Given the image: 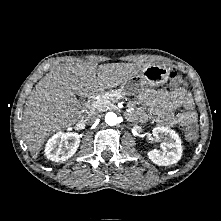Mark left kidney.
Returning a JSON list of instances; mask_svg holds the SVG:
<instances>
[{
	"instance_id": "obj_1",
	"label": "left kidney",
	"mask_w": 221,
	"mask_h": 221,
	"mask_svg": "<svg viewBox=\"0 0 221 221\" xmlns=\"http://www.w3.org/2000/svg\"><path fill=\"white\" fill-rule=\"evenodd\" d=\"M155 138L161 139L160 144L163 150H151L147 152L148 158L159 166H169L177 163L182 156V145L179 135L167 127H155L152 130Z\"/></svg>"
}]
</instances>
